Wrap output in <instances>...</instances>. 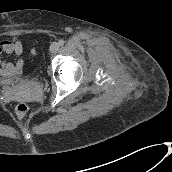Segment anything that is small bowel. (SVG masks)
I'll return each instance as SVG.
<instances>
[{
  "mask_svg": "<svg viewBox=\"0 0 172 172\" xmlns=\"http://www.w3.org/2000/svg\"><path fill=\"white\" fill-rule=\"evenodd\" d=\"M24 46L19 40H2L0 41V82L5 85L12 84L20 77L25 63L20 57L23 53ZM32 54H36V49H32ZM4 54H14L18 58L14 62L3 60Z\"/></svg>",
  "mask_w": 172,
  "mask_h": 172,
  "instance_id": "c3829d8e",
  "label": "small bowel"
}]
</instances>
